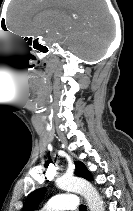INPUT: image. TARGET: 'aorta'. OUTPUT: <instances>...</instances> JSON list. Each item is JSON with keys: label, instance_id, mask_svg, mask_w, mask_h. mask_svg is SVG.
Segmentation results:
<instances>
[{"label": "aorta", "instance_id": "obj_1", "mask_svg": "<svg viewBox=\"0 0 133 211\" xmlns=\"http://www.w3.org/2000/svg\"><path fill=\"white\" fill-rule=\"evenodd\" d=\"M56 186L61 190L82 195L90 211H104L103 201L98 191L87 180L74 176H62L56 180Z\"/></svg>", "mask_w": 133, "mask_h": 211}]
</instances>
